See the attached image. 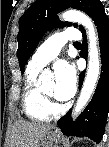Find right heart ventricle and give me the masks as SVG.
I'll return each instance as SVG.
<instances>
[{
	"instance_id": "e07e8e85",
	"label": "right heart ventricle",
	"mask_w": 109,
	"mask_h": 147,
	"mask_svg": "<svg viewBox=\"0 0 109 147\" xmlns=\"http://www.w3.org/2000/svg\"><path fill=\"white\" fill-rule=\"evenodd\" d=\"M40 69L27 66L22 87V105L25 114L36 121H44L49 118L51 108L48 107L40 88L36 84V78Z\"/></svg>"
}]
</instances>
